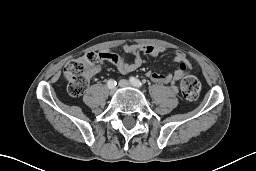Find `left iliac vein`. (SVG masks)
I'll return each instance as SVG.
<instances>
[{
    "label": "left iliac vein",
    "mask_w": 256,
    "mask_h": 171,
    "mask_svg": "<svg viewBox=\"0 0 256 171\" xmlns=\"http://www.w3.org/2000/svg\"><path fill=\"white\" fill-rule=\"evenodd\" d=\"M120 87H131V83L128 80L122 79L119 81Z\"/></svg>",
    "instance_id": "obj_1"
}]
</instances>
